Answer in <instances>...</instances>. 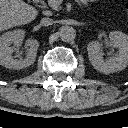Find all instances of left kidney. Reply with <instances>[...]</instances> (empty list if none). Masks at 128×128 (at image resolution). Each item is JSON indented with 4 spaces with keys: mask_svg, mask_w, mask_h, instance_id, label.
I'll return each instance as SVG.
<instances>
[{
    "mask_svg": "<svg viewBox=\"0 0 128 128\" xmlns=\"http://www.w3.org/2000/svg\"><path fill=\"white\" fill-rule=\"evenodd\" d=\"M109 43L118 48V53L106 61L103 59L102 44L100 42L92 41L87 46L91 64L97 71L105 74L121 71L128 64V35L119 31L110 32Z\"/></svg>",
    "mask_w": 128,
    "mask_h": 128,
    "instance_id": "left-kidney-1",
    "label": "left kidney"
}]
</instances>
